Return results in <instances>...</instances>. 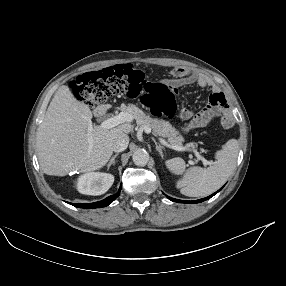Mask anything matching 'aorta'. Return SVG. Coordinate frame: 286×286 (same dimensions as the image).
Instances as JSON below:
<instances>
[{
	"mask_svg": "<svg viewBox=\"0 0 286 286\" xmlns=\"http://www.w3.org/2000/svg\"><path fill=\"white\" fill-rule=\"evenodd\" d=\"M133 162L137 166H145L149 160V154L145 149H138L132 156Z\"/></svg>",
	"mask_w": 286,
	"mask_h": 286,
	"instance_id": "1",
	"label": "aorta"
}]
</instances>
